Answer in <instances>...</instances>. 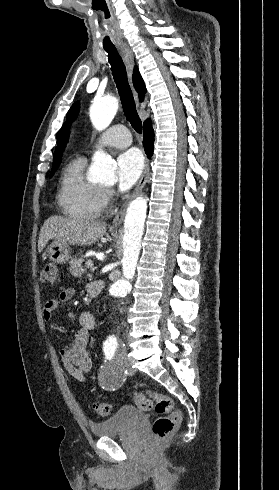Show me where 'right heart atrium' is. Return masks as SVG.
<instances>
[{
    "mask_svg": "<svg viewBox=\"0 0 279 490\" xmlns=\"http://www.w3.org/2000/svg\"><path fill=\"white\" fill-rule=\"evenodd\" d=\"M113 197V191L110 188H102L99 195V208L100 211H105L109 206Z\"/></svg>",
    "mask_w": 279,
    "mask_h": 490,
    "instance_id": "right-heart-atrium-1",
    "label": "right heart atrium"
}]
</instances>
